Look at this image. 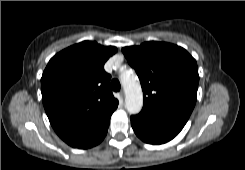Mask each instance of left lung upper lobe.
Segmentation results:
<instances>
[{
  "mask_svg": "<svg viewBox=\"0 0 245 170\" xmlns=\"http://www.w3.org/2000/svg\"><path fill=\"white\" fill-rule=\"evenodd\" d=\"M142 86V111L185 125L196 103L199 82L195 59L182 47L146 42L122 49Z\"/></svg>",
  "mask_w": 245,
  "mask_h": 170,
  "instance_id": "1",
  "label": "left lung upper lobe"
}]
</instances>
